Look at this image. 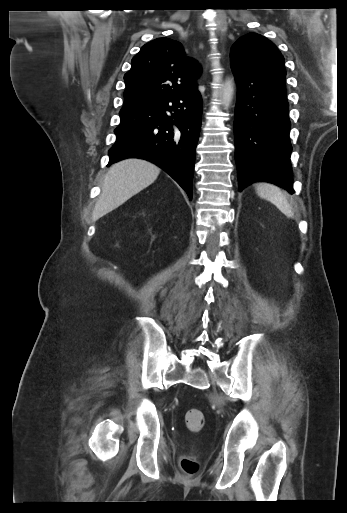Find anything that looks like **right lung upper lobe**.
<instances>
[{"instance_id": "right-lung-upper-lobe-1", "label": "right lung upper lobe", "mask_w": 347, "mask_h": 513, "mask_svg": "<svg viewBox=\"0 0 347 513\" xmlns=\"http://www.w3.org/2000/svg\"><path fill=\"white\" fill-rule=\"evenodd\" d=\"M200 74V65L185 55L178 41L155 39L133 57L132 67L124 76L122 110L197 90L195 80Z\"/></svg>"}]
</instances>
